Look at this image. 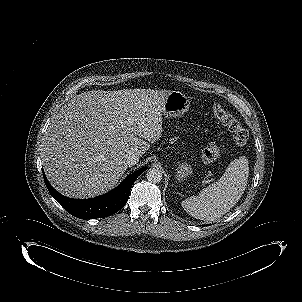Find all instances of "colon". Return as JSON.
Here are the masks:
<instances>
[{
	"label": "colon",
	"mask_w": 302,
	"mask_h": 302,
	"mask_svg": "<svg viewBox=\"0 0 302 302\" xmlns=\"http://www.w3.org/2000/svg\"><path fill=\"white\" fill-rule=\"evenodd\" d=\"M212 111L215 117L232 133L234 143L237 146H244L248 140V132L241 123L219 103L213 105ZM219 154L218 145L209 143L202 151V159L204 162H213Z\"/></svg>",
	"instance_id": "colon-1"
}]
</instances>
